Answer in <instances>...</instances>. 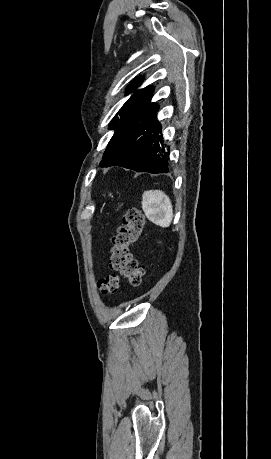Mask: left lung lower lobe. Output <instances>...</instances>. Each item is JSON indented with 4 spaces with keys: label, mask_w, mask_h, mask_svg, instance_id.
Returning <instances> with one entry per match:
<instances>
[{
    "label": "left lung lower lobe",
    "mask_w": 271,
    "mask_h": 459,
    "mask_svg": "<svg viewBox=\"0 0 271 459\" xmlns=\"http://www.w3.org/2000/svg\"><path fill=\"white\" fill-rule=\"evenodd\" d=\"M158 106L142 117L129 118L114 129L102 167L122 166L137 172H169L170 147L157 121Z\"/></svg>",
    "instance_id": "0a47b994"
}]
</instances>
